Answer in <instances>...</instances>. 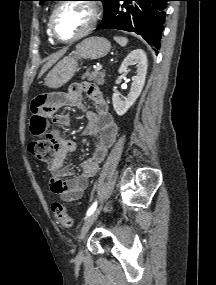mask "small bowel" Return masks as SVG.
Wrapping results in <instances>:
<instances>
[{
    "label": "small bowel",
    "instance_id": "obj_1",
    "mask_svg": "<svg viewBox=\"0 0 216 285\" xmlns=\"http://www.w3.org/2000/svg\"><path fill=\"white\" fill-rule=\"evenodd\" d=\"M85 98H89L95 111L85 108ZM77 107L85 111L87 119L83 134L95 139V148L90 158L81 163V174L75 179H67L71 174L65 166L70 153L77 149V144L62 136L58 129L48 128V118L52 111L62 107ZM31 131L34 136H40V141L53 144L54 159L47 163L50 173L49 186L51 191L65 201L79 199L88 186L99 164L105 159L113 145L118 132V126L109 112L108 104L99 88L88 82L75 83L67 91L57 93L48 98L39 97L32 103ZM54 122L61 127L69 125L71 119L68 114L53 115Z\"/></svg>",
    "mask_w": 216,
    "mask_h": 285
}]
</instances>
